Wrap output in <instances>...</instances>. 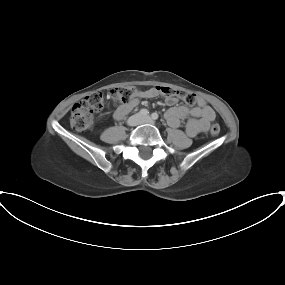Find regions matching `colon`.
<instances>
[{
  "mask_svg": "<svg viewBox=\"0 0 285 285\" xmlns=\"http://www.w3.org/2000/svg\"><path fill=\"white\" fill-rule=\"evenodd\" d=\"M155 89L167 97H178L189 106H197L199 104L198 97L192 92L168 86H157ZM135 91L131 86H121L111 89L107 94L101 91L89 94L73 106L70 113L71 127L76 132L89 130L93 125L95 115L105 108L107 101L115 104H125L133 98ZM220 130V125L213 123L210 133L213 136H217Z\"/></svg>",
  "mask_w": 285,
  "mask_h": 285,
  "instance_id": "obj_1",
  "label": "colon"
}]
</instances>
